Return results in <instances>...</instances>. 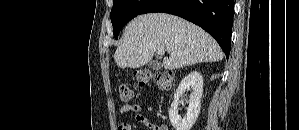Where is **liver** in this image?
<instances>
[{"label":"liver","mask_w":299,"mask_h":130,"mask_svg":"<svg viewBox=\"0 0 299 130\" xmlns=\"http://www.w3.org/2000/svg\"><path fill=\"white\" fill-rule=\"evenodd\" d=\"M159 49L169 53L162 66L174 70L201 62H218L223 52L199 26L166 13L139 15L128 23L114 60L119 68H140Z\"/></svg>","instance_id":"6515ba94"}]
</instances>
